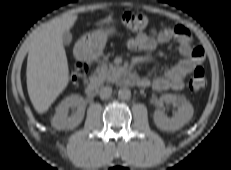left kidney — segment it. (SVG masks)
I'll list each match as a JSON object with an SVG mask.
<instances>
[{
    "mask_svg": "<svg viewBox=\"0 0 231 170\" xmlns=\"http://www.w3.org/2000/svg\"><path fill=\"white\" fill-rule=\"evenodd\" d=\"M160 102L172 103L177 112L172 118H168L161 110L154 112V122L156 126L164 131H175L182 128L192 118L194 109L184 96L164 94L160 97Z\"/></svg>",
    "mask_w": 231,
    "mask_h": 170,
    "instance_id": "5707ae66",
    "label": "left kidney"
}]
</instances>
